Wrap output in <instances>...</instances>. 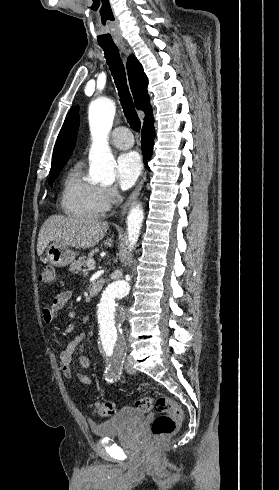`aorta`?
Here are the masks:
<instances>
[{"instance_id": "1", "label": "aorta", "mask_w": 279, "mask_h": 490, "mask_svg": "<svg viewBox=\"0 0 279 490\" xmlns=\"http://www.w3.org/2000/svg\"><path fill=\"white\" fill-rule=\"evenodd\" d=\"M115 104L108 99L91 103L89 107V125L92 145L89 153L90 177L96 182L111 184L115 180L114 168L116 162L108 145V135L112 128L115 115ZM144 218L140 205L135 206L127 217V234L129 247L134 248ZM130 291V285L125 280L114 281L101 293L96 309L97 336L103 346L118 345L124 342L122 333L123 313L118 308L117 301Z\"/></svg>"}]
</instances>
